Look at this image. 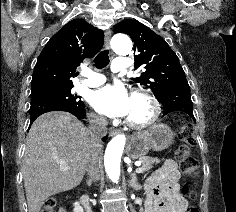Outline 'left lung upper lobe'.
Wrapping results in <instances>:
<instances>
[{
	"label": "left lung upper lobe",
	"instance_id": "obj_1",
	"mask_svg": "<svg viewBox=\"0 0 236 212\" xmlns=\"http://www.w3.org/2000/svg\"><path fill=\"white\" fill-rule=\"evenodd\" d=\"M114 33H125L134 42V69H145L141 77L131 78L152 89L159 100L172 86L187 82L177 55L166 41L144 24L131 19L123 20L114 28Z\"/></svg>",
	"mask_w": 236,
	"mask_h": 212
}]
</instances>
